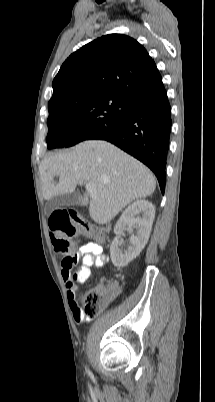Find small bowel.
<instances>
[{
  "label": "small bowel",
  "instance_id": "small-bowel-1",
  "mask_svg": "<svg viewBox=\"0 0 215 402\" xmlns=\"http://www.w3.org/2000/svg\"><path fill=\"white\" fill-rule=\"evenodd\" d=\"M74 258L77 262L81 260V267L73 272L61 264V272L66 285L67 297L73 317L77 323H83L84 321H90L91 317L83 314L76 303L77 283L85 282L94 269L105 266L108 263V257L104 254L103 247L100 244L88 242L76 251ZM100 281L104 282V278L102 277ZM109 289L115 291L117 284L115 282L111 283Z\"/></svg>",
  "mask_w": 215,
  "mask_h": 402
}]
</instances>
